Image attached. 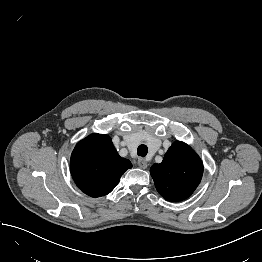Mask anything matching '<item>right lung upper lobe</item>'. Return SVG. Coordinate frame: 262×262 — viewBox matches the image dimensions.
<instances>
[{"label": "right lung upper lobe", "mask_w": 262, "mask_h": 262, "mask_svg": "<svg viewBox=\"0 0 262 262\" xmlns=\"http://www.w3.org/2000/svg\"><path fill=\"white\" fill-rule=\"evenodd\" d=\"M131 167V162L119 156L111 138L104 134H92L81 140L70 160L76 185L91 197L109 194Z\"/></svg>", "instance_id": "1"}]
</instances>
